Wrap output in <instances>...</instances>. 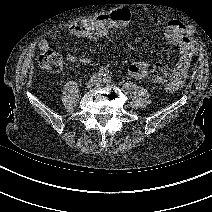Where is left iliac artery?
Masks as SVG:
<instances>
[{"label": "left iliac artery", "instance_id": "obj_1", "mask_svg": "<svg viewBox=\"0 0 212 212\" xmlns=\"http://www.w3.org/2000/svg\"><path fill=\"white\" fill-rule=\"evenodd\" d=\"M109 80H110L109 78H106V79H105V82H109Z\"/></svg>", "mask_w": 212, "mask_h": 212}]
</instances>
